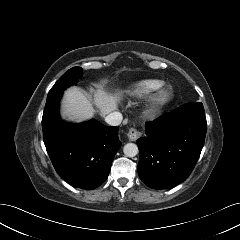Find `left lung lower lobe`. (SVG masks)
I'll return each instance as SVG.
<instances>
[{"mask_svg":"<svg viewBox=\"0 0 240 240\" xmlns=\"http://www.w3.org/2000/svg\"><path fill=\"white\" fill-rule=\"evenodd\" d=\"M206 130L201 102L186 103L147 123L146 136L137 140L142 182L153 189H166L186 180L200 156Z\"/></svg>","mask_w":240,"mask_h":240,"instance_id":"1","label":"left lung lower lobe"}]
</instances>
